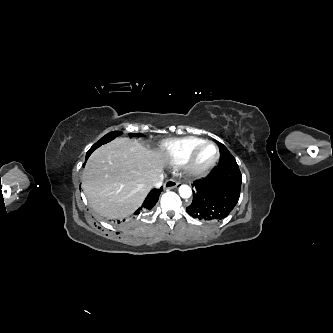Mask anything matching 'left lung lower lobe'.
<instances>
[{"instance_id":"obj_1","label":"left lung lower lobe","mask_w":333,"mask_h":333,"mask_svg":"<svg viewBox=\"0 0 333 333\" xmlns=\"http://www.w3.org/2000/svg\"><path fill=\"white\" fill-rule=\"evenodd\" d=\"M242 175L236 164L216 166L192 186L193 200L186 208L195 219L216 222L229 215L240 197Z\"/></svg>"}]
</instances>
